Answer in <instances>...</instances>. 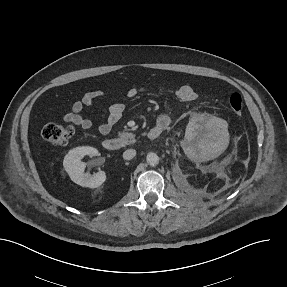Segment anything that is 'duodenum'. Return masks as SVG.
I'll list each match as a JSON object with an SVG mask.
<instances>
[{"mask_svg": "<svg viewBox=\"0 0 287 287\" xmlns=\"http://www.w3.org/2000/svg\"><path fill=\"white\" fill-rule=\"evenodd\" d=\"M164 131L163 127H153L148 132V137L151 140L159 138V136ZM103 147L109 151H116L122 148L124 142L119 138H107L102 143Z\"/></svg>", "mask_w": 287, "mask_h": 287, "instance_id": "obj_1", "label": "duodenum"}]
</instances>
